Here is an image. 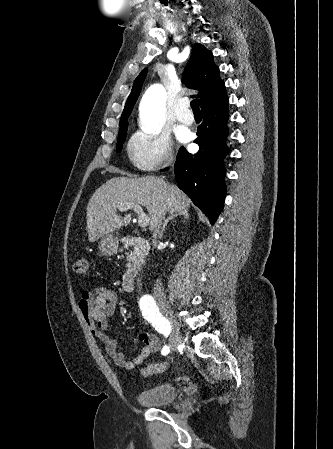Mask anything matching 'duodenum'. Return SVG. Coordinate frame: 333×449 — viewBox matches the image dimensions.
Masks as SVG:
<instances>
[{"instance_id":"duodenum-1","label":"duodenum","mask_w":333,"mask_h":449,"mask_svg":"<svg viewBox=\"0 0 333 449\" xmlns=\"http://www.w3.org/2000/svg\"><path fill=\"white\" fill-rule=\"evenodd\" d=\"M122 242L133 247L137 252V259L131 267L127 269L122 280L123 289L125 291H133L137 276L141 270V260L148 253L150 244L148 240L141 237H125L122 239Z\"/></svg>"}]
</instances>
